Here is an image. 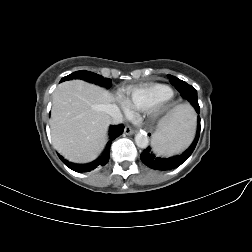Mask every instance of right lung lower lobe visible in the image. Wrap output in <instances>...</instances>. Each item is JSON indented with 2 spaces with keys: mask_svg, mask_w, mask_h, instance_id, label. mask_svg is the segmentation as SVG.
<instances>
[{
  "mask_svg": "<svg viewBox=\"0 0 252 252\" xmlns=\"http://www.w3.org/2000/svg\"><path fill=\"white\" fill-rule=\"evenodd\" d=\"M124 130V126L122 124L120 125H114L110 126L109 128V141L107 143L106 149L104 150L103 154L94 162L88 163V164H75L71 163L65 159L62 158V156H59L61 161L70 169L76 171V172H89L97 167L104 166L108 163L109 161V156H110V145L113 140H115L118 136L122 134Z\"/></svg>",
  "mask_w": 252,
  "mask_h": 252,
  "instance_id": "1",
  "label": "right lung lower lobe"
}]
</instances>
